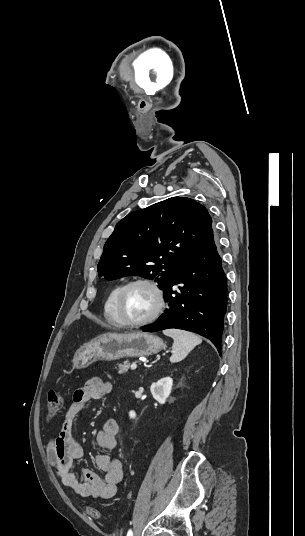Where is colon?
<instances>
[{"mask_svg":"<svg viewBox=\"0 0 305 536\" xmlns=\"http://www.w3.org/2000/svg\"><path fill=\"white\" fill-rule=\"evenodd\" d=\"M62 407V396L59 392L54 390H49L47 392V415L49 418H54L59 414V411ZM87 515L95 519H100L103 517V514L96 509H90L87 512Z\"/></svg>","mask_w":305,"mask_h":536,"instance_id":"colon-1","label":"colon"}]
</instances>
